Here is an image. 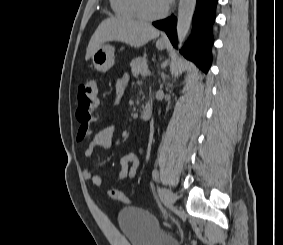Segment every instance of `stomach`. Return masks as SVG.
Segmentation results:
<instances>
[{
  "label": "stomach",
  "mask_w": 283,
  "mask_h": 245,
  "mask_svg": "<svg viewBox=\"0 0 283 245\" xmlns=\"http://www.w3.org/2000/svg\"><path fill=\"white\" fill-rule=\"evenodd\" d=\"M156 47L163 50L166 43L157 41ZM114 47L111 45H101L93 54L92 61L95 69L99 72H106L114 65Z\"/></svg>",
  "instance_id": "stomach-1"
}]
</instances>
